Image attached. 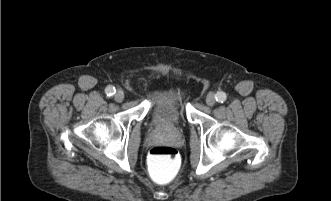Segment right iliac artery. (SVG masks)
<instances>
[{
  "label": "right iliac artery",
  "mask_w": 331,
  "mask_h": 201,
  "mask_svg": "<svg viewBox=\"0 0 331 201\" xmlns=\"http://www.w3.org/2000/svg\"><path fill=\"white\" fill-rule=\"evenodd\" d=\"M115 88L113 86H108L105 89V93L107 96H112L113 94H115Z\"/></svg>",
  "instance_id": "obj_1"
}]
</instances>
